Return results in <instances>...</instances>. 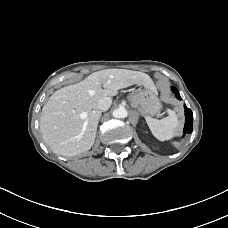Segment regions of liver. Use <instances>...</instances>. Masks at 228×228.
I'll return each mask as SVG.
<instances>
[{"instance_id": "6515ba94", "label": "liver", "mask_w": 228, "mask_h": 228, "mask_svg": "<svg viewBox=\"0 0 228 228\" xmlns=\"http://www.w3.org/2000/svg\"><path fill=\"white\" fill-rule=\"evenodd\" d=\"M156 91L149 75L127 69L94 72L83 81L55 91L42 108L40 130L50 149L62 156H75L94 144L101 112L97 103L131 85Z\"/></svg>"}]
</instances>
